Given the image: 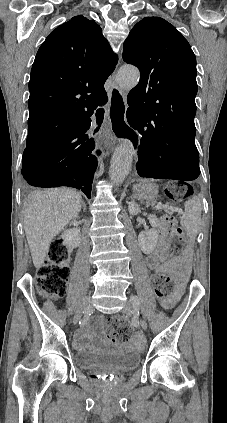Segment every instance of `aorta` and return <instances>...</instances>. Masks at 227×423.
<instances>
[{
  "mask_svg": "<svg viewBox=\"0 0 227 423\" xmlns=\"http://www.w3.org/2000/svg\"><path fill=\"white\" fill-rule=\"evenodd\" d=\"M122 88H133L138 84L139 71L132 66H123L116 77ZM133 160V145L130 141H123L114 151L110 161L109 177L113 184H121L131 170Z\"/></svg>",
  "mask_w": 227,
  "mask_h": 423,
  "instance_id": "762f6f07",
  "label": "aorta"
}]
</instances>
